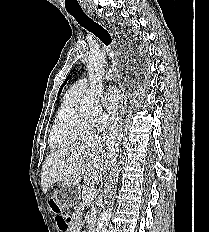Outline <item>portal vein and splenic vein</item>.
I'll list each match as a JSON object with an SVG mask.
<instances>
[{"mask_svg": "<svg viewBox=\"0 0 209 232\" xmlns=\"http://www.w3.org/2000/svg\"><path fill=\"white\" fill-rule=\"evenodd\" d=\"M95 195H96V190L94 188L89 189L86 196H85V201L86 202L92 201L94 199Z\"/></svg>", "mask_w": 209, "mask_h": 232, "instance_id": "1", "label": "portal vein and splenic vein"}]
</instances>
